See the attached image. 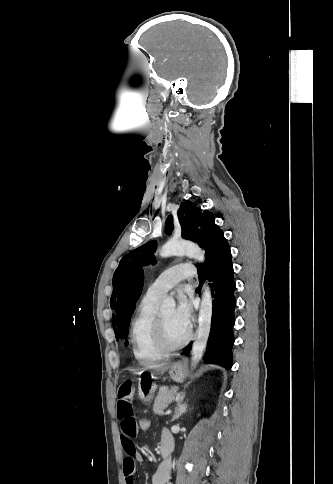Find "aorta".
I'll list each match as a JSON object with an SVG mask.
<instances>
[{"label":"aorta","mask_w":333,"mask_h":484,"mask_svg":"<svg viewBox=\"0 0 333 484\" xmlns=\"http://www.w3.org/2000/svg\"><path fill=\"white\" fill-rule=\"evenodd\" d=\"M186 254L191 258L199 262H203L205 259V252L196 244L183 241V240H169L160 249L161 257H169L174 255ZM176 303L174 298L166 297L162 301V310L174 309ZM211 318H212V296L208 285L204 286V291L202 294L201 306L198 318V329L197 337L192 346V363L191 365L195 367L197 363L201 360L204 350L207 345L211 330Z\"/></svg>","instance_id":"aorta-1"}]
</instances>
